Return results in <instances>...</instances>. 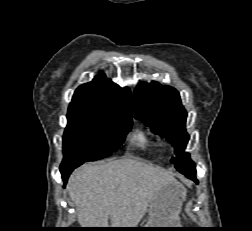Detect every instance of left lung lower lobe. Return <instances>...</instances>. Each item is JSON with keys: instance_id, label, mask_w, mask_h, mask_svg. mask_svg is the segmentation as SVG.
Masks as SVG:
<instances>
[{"instance_id": "left-lung-lower-lobe-1", "label": "left lung lower lobe", "mask_w": 252, "mask_h": 231, "mask_svg": "<svg viewBox=\"0 0 252 231\" xmlns=\"http://www.w3.org/2000/svg\"><path fill=\"white\" fill-rule=\"evenodd\" d=\"M195 173H196V170L189 171V172H183L182 174H184L186 177H188V178L194 180L196 183H198V180L195 177Z\"/></svg>"}]
</instances>
